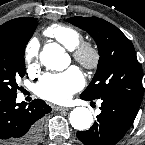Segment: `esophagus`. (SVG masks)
<instances>
[{"instance_id": "34e87169", "label": "esophagus", "mask_w": 145, "mask_h": 145, "mask_svg": "<svg viewBox=\"0 0 145 145\" xmlns=\"http://www.w3.org/2000/svg\"><path fill=\"white\" fill-rule=\"evenodd\" d=\"M56 110L57 111H68L69 108H67V107H56Z\"/></svg>"}]
</instances>
